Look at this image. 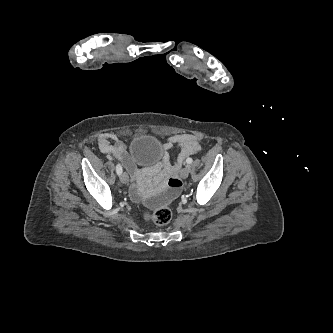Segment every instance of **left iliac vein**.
<instances>
[{"instance_id": "left-iliac-vein-1", "label": "left iliac vein", "mask_w": 333, "mask_h": 333, "mask_svg": "<svg viewBox=\"0 0 333 333\" xmlns=\"http://www.w3.org/2000/svg\"><path fill=\"white\" fill-rule=\"evenodd\" d=\"M190 166H186L180 171V177L186 179L189 176Z\"/></svg>"}]
</instances>
